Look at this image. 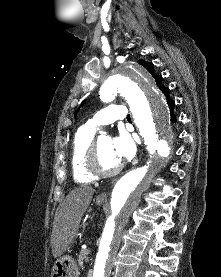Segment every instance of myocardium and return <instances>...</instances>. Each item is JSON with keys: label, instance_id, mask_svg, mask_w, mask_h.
<instances>
[{"label": "myocardium", "instance_id": "obj_1", "mask_svg": "<svg viewBox=\"0 0 221 277\" xmlns=\"http://www.w3.org/2000/svg\"><path fill=\"white\" fill-rule=\"evenodd\" d=\"M98 143L99 138L92 141L87 157H86V169L95 178H109L117 175L123 168V163H119L114 169L109 171H104L99 166L98 159Z\"/></svg>", "mask_w": 221, "mask_h": 277}]
</instances>
